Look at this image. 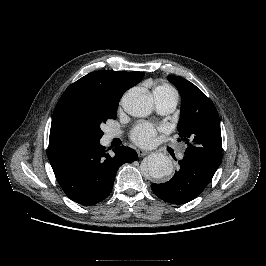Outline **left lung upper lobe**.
Returning a JSON list of instances; mask_svg holds the SVG:
<instances>
[{
	"mask_svg": "<svg viewBox=\"0 0 266 266\" xmlns=\"http://www.w3.org/2000/svg\"><path fill=\"white\" fill-rule=\"evenodd\" d=\"M181 95L177 126L179 141L188 145L184 155L217 170L222 161V139L218 112L213 102L194 84L178 76H167Z\"/></svg>",
	"mask_w": 266,
	"mask_h": 266,
	"instance_id": "5c2ea615",
	"label": "left lung upper lobe"
}]
</instances>
